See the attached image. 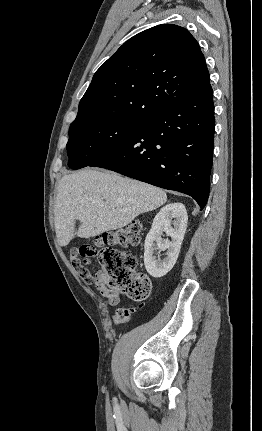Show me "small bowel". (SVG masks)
I'll use <instances>...</instances> for the list:
<instances>
[{"label":"small bowel","instance_id":"small-bowel-1","mask_svg":"<svg viewBox=\"0 0 262 431\" xmlns=\"http://www.w3.org/2000/svg\"><path fill=\"white\" fill-rule=\"evenodd\" d=\"M82 277H83V280L86 284L96 285L98 290L100 291L101 295L107 299V301L110 305L115 306L121 301V296H120L119 292H117L115 290L108 289V288L98 284V282H96V280L90 274L84 275Z\"/></svg>","mask_w":262,"mask_h":431}]
</instances>
